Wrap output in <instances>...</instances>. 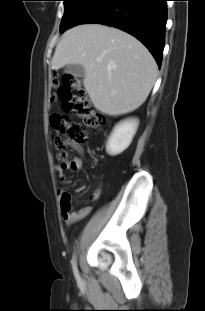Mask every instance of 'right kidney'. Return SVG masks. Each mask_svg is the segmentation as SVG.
Returning a JSON list of instances; mask_svg holds the SVG:
<instances>
[{
    "mask_svg": "<svg viewBox=\"0 0 205 311\" xmlns=\"http://www.w3.org/2000/svg\"><path fill=\"white\" fill-rule=\"evenodd\" d=\"M138 120L128 119L119 123L109 137L106 150L110 155H118L126 150L138 128Z\"/></svg>",
    "mask_w": 205,
    "mask_h": 311,
    "instance_id": "ca27d5eb",
    "label": "right kidney"
}]
</instances>
